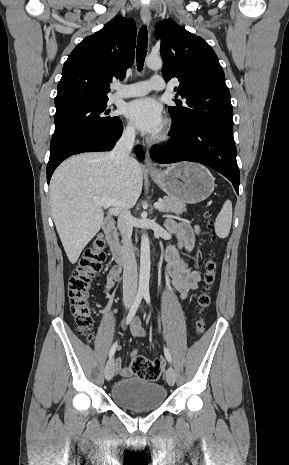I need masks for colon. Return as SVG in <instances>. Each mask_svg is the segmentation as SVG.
<instances>
[{"instance_id": "colon-1", "label": "colon", "mask_w": 289, "mask_h": 465, "mask_svg": "<svg viewBox=\"0 0 289 465\" xmlns=\"http://www.w3.org/2000/svg\"><path fill=\"white\" fill-rule=\"evenodd\" d=\"M205 217L208 219V228H214V222L211 219V213L206 212ZM212 240H216L212 236ZM105 241L103 236L98 235L90 246L86 248L78 266L73 270L68 283V296L71 311L75 317L78 331L91 339L90 328L92 325V310L89 301V291L91 282L95 274L100 270L105 259ZM217 264L214 259V253L204 265L203 272V291L197 297V308L199 318L196 321V331L202 334L205 329L204 314L211 304L210 289L216 278ZM130 368L132 372L142 380L157 381L163 372V361L161 359H149L134 351L131 355Z\"/></svg>"}]
</instances>
